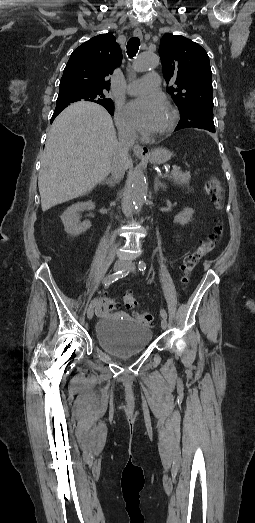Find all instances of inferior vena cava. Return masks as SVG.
I'll list each match as a JSON object with an SVG mask.
<instances>
[{
	"instance_id": "inferior-vena-cava-1",
	"label": "inferior vena cava",
	"mask_w": 255,
	"mask_h": 523,
	"mask_svg": "<svg viewBox=\"0 0 255 523\" xmlns=\"http://www.w3.org/2000/svg\"><path fill=\"white\" fill-rule=\"evenodd\" d=\"M118 136L117 154L111 168L112 180H116V182H120V180L124 178L125 170L129 162V148H132L137 138L135 130H131L126 124L118 126Z\"/></svg>"
}]
</instances>
